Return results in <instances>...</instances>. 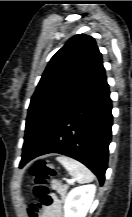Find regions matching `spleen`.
Returning a JSON list of instances; mask_svg holds the SVG:
<instances>
[{
    "mask_svg": "<svg viewBox=\"0 0 132 217\" xmlns=\"http://www.w3.org/2000/svg\"><path fill=\"white\" fill-rule=\"evenodd\" d=\"M56 160L61 163L69 174L76 178L79 183H88L94 180V174L81 162L67 156H58Z\"/></svg>",
    "mask_w": 132,
    "mask_h": 217,
    "instance_id": "3e777b00",
    "label": "spleen"
}]
</instances>
